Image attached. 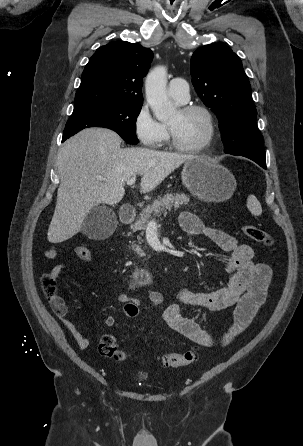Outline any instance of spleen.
Instances as JSON below:
<instances>
[{"mask_svg":"<svg viewBox=\"0 0 303 446\" xmlns=\"http://www.w3.org/2000/svg\"><path fill=\"white\" fill-rule=\"evenodd\" d=\"M247 208L254 216H260L262 214L261 204L254 195L248 197Z\"/></svg>","mask_w":303,"mask_h":446,"instance_id":"1","label":"spleen"}]
</instances>
